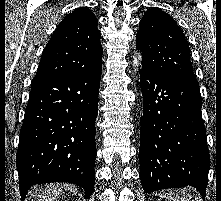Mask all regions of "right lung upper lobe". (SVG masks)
Listing matches in <instances>:
<instances>
[{"label": "right lung upper lobe", "mask_w": 221, "mask_h": 201, "mask_svg": "<svg viewBox=\"0 0 221 201\" xmlns=\"http://www.w3.org/2000/svg\"><path fill=\"white\" fill-rule=\"evenodd\" d=\"M98 20L88 8L67 15L47 43L36 75L72 76L102 68Z\"/></svg>", "instance_id": "cb5924a9"}]
</instances>
